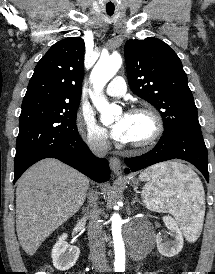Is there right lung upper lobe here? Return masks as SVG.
Listing matches in <instances>:
<instances>
[{"instance_id": "1", "label": "right lung upper lobe", "mask_w": 215, "mask_h": 274, "mask_svg": "<svg viewBox=\"0 0 215 274\" xmlns=\"http://www.w3.org/2000/svg\"><path fill=\"white\" fill-rule=\"evenodd\" d=\"M84 51V41L80 37H68L55 43L36 65L23 103L36 100L79 102Z\"/></svg>"}]
</instances>
